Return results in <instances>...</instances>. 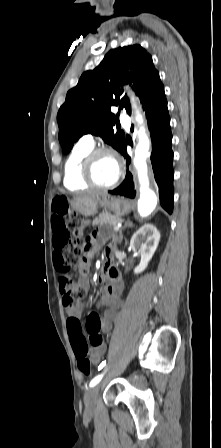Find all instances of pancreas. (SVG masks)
I'll list each match as a JSON object with an SVG mask.
<instances>
[{"label": "pancreas", "instance_id": "obj_1", "mask_svg": "<svg viewBox=\"0 0 221 448\" xmlns=\"http://www.w3.org/2000/svg\"><path fill=\"white\" fill-rule=\"evenodd\" d=\"M123 222V219L114 215L102 213L99 217L95 218L93 221V225H109L111 227H115L118 223Z\"/></svg>", "mask_w": 221, "mask_h": 448}]
</instances>
